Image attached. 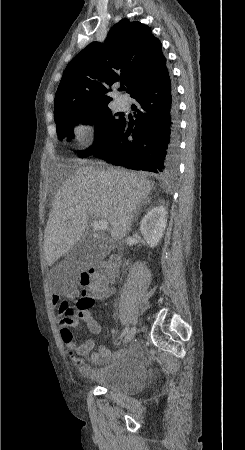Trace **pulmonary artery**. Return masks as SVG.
I'll return each mask as SVG.
<instances>
[{
	"instance_id": "e3ab8cb5",
	"label": "pulmonary artery",
	"mask_w": 245,
	"mask_h": 450,
	"mask_svg": "<svg viewBox=\"0 0 245 450\" xmlns=\"http://www.w3.org/2000/svg\"><path fill=\"white\" fill-rule=\"evenodd\" d=\"M124 104H125V102H121V103H120V106H123Z\"/></svg>"
}]
</instances>
